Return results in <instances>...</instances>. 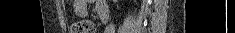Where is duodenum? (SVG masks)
<instances>
[{
	"mask_svg": "<svg viewBox=\"0 0 235 33\" xmlns=\"http://www.w3.org/2000/svg\"><path fill=\"white\" fill-rule=\"evenodd\" d=\"M102 19H103V21H106V20H107V17H106V16H104Z\"/></svg>",
	"mask_w": 235,
	"mask_h": 33,
	"instance_id": "obj_1",
	"label": "duodenum"
}]
</instances>
